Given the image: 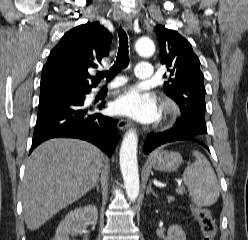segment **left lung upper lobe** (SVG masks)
I'll return each instance as SVG.
<instances>
[{"label": "left lung upper lobe", "mask_w": 248, "mask_h": 240, "mask_svg": "<svg viewBox=\"0 0 248 240\" xmlns=\"http://www.w3.org/2000/svg\"><path fill=\"white\" fill-rule=\"evenodd\" d=\"M155 32L160 44L161 62L170 73L164 91L181 110V118L174 127L206 134L205 87L200 61L191 44L176 31L157 25Z\"/></svg>", "instance_id": "5c2ea615"}]
</instances>
